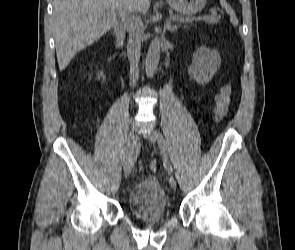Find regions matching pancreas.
<instances>
[{
    "instance_id": "1",
    "label": "pancreas",
    "mask_w": 295,
    "mask_h": 250,
    "mask_svg": "<svg viewBox=\"0 0 295 250\" xmlns=\"http://www.w3.org/2000/svg\"><path fill=\"white\" fill-rule=\"evenodd\" d=\"M176 17H178L179 20H187V19L181 18L180 16H176ZM189 21H191V20H189ZM217 22H218L217 13L215 11H212V14H211V16L209 18V23L210 24H216Z\"/></svg>"
}]
</instances>
